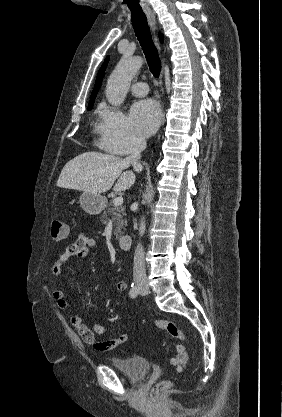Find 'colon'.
<instances>
[{
	"label": "colon",
	"mask_w": 282,
	"mask_h": 417,
	"mask_svg": "<svg viewBox=\"0 0 282 417\" xmlns=\"http://www.w3.org/2000/svg\"><path fill=\"white\" fill-rule=\"evenodd\" d=\"M50 234L52 238L56 240H64L69 234V225L64 219H55L51 223ZM154 327L159 330H163L169 333L172 337L186 341L187 335L180 329V327L166 319H156L154 321ZM182 345L177 348V355L174 358V364L179 372L185 371L187 364L185 360L187 358V352L183 350ZM169 381L168 379H159L156 389L150 390V397L152 403H163L164 395L168 391Z\"/></svg>",
	"instance_id": "1"
}]
</instances>
